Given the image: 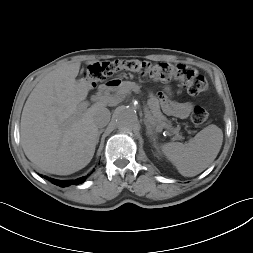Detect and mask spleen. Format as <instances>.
<instances>
[{
  "label": "spleen",
  "instance_id": "1",
  "mask_svg": "<svg viewBox=\"0 0 253 253\" xmlns=\"http://www.w3.org/2000/svg\"><path fill=\"white\" fill-rule=\"evenodd\" d=\"M223 142V132L216 125H209L188 143L170 142L162 146V152L186 177L204 171L217 157Z\"/></svg>",
  "mask_w": 253,
  "mask_h": 253
}]
</instances>
